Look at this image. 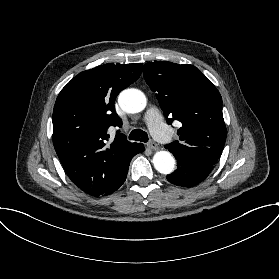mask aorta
<instances>
[{
	"label": "aorta",
	"instance_id": "obj_1",
	"mask_svg": "<svg viewBox=\"0 0 279 279\" xmlns=\"http://www.w3.org/2000/svg\"><path fill=\"white\" fill-rule=\"evenodd\" d=\"M122 110L127 113H138L144 110L147 99L143 92L130 88L123 90L118 98ZM155 169L161 174H171L175 168V159L168 151H158L153 156Z\"/></svg>",
	"mask_w": 279,
	"mask_h": 279
}]
</instances>
